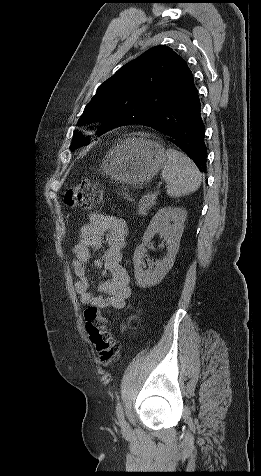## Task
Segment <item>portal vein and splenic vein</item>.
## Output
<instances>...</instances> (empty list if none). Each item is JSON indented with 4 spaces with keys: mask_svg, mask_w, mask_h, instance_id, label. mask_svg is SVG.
Returning <instances> with one entry per match:
<instances>
[{
    "mask_svg": "<svg viewBox=\"0 0 261 476\" xmlns=\"http://www.w3.org/2000/svg\"><path fill=\"white\" fill-rule=\"evenodd\" d=\"M156 196H157V193H154V194L151 195V197H152L153 199H155Z\"/></svg>",
    "mask_w": 261,
    "mask_h": 476,
    "instance_id": "1",
    "label": "portal vein and splenic vein"
}]
</instances>
